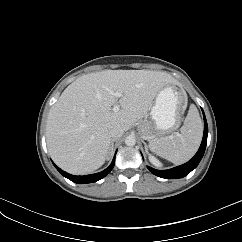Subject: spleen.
<instances>
[{"instance_id": "1", "label": "spleen", "mask_w": 242, "mask_h": 242, "mask_svg": "<svg viewBox=\"0 0 242 242\" xmlns=\"http://www.w3.org/2000/svg\"><path fill=\"white\" fill-rule=\"evenodd\" d=\"M203 125L195 105H191L180 133L152 141L150 149L158 156L174 163L182 164L194 156L199 148Z\"/></svg>"}]
</instances>
